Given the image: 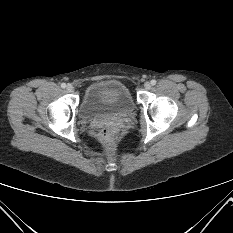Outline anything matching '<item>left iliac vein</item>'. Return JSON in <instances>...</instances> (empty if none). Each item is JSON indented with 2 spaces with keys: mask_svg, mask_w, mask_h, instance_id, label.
I'll list each match as a JSON object with an SVG mask.
<instances>
[{
  "mask_svg": "<svg viewBox=\"0 0 233 233\" xmlns=\"http://www.w3.org/2000/svg\"><path fill=\"white\" fill-rule=\"evenodd\" d=\"M144 88H145L146 90H149V89L151 88V84H150L149 82H146V83L144 84Z\"/></svg>",
  "mask_w": 233,
  "mask_h": 233,
  "instance_id": "left-iliac-vein-1",
  "label": "left iliac vein"
}]
</instances>
